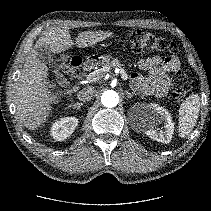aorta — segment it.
Here are the masks:
<instances>
[{"label":"aorta","instance_id":"1","mask_svg":"<svg viewBox=\"0 0 211 211\" xmlns=\"http://www.w3.org/2000/svg\"><path fill=\"white\" fill-rule=\"evenodd\" d=\"M101 103L107 108H113L119 103V95L114 90H107L102 93Z\"/></svg>","mask_w":211,"mask_h":211}]
</instances>
